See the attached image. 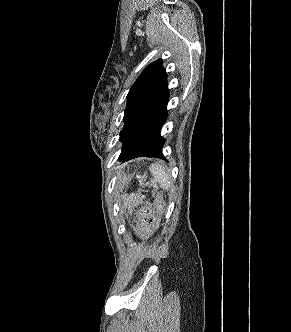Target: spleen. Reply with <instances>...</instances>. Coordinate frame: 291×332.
Wrapping results in <instances>:
<instances>
[{"label":"spleen","instance_id":"3e777b00","mask_svg":"<svg viewBox=\"0 0 291 332\" xmlns=\"http://www.w3.org/2000/svg\"><path fill=\"white\" fill-rule=\"evenodd\" d=\"M149 169L154 177V180L158 182L163 189H169L171 187V180L164 166L154 163L151 164Z\"/></svg>","mask_w":291,"mask_h":332}]
</instances>
